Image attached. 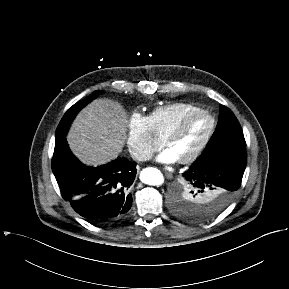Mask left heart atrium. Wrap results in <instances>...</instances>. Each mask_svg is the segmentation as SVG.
Wrapping results in <instances>:
<instances>
[{
    "instance_id": "obj_1",
    "label": "left heart atrium",
    "mask_w": 289,
    "mask_h": 289,
    "mask_svg": "<svg viewBox=\"0 0 289 289\" xmlns=\"http://www.w3.org/2000/svg\"><path fill=\"white\" fill-rule=\"evenodd\" d=\"M177 160H178V157L169 148L163 150L157 156V161L161 163H173Z\"/></svg>"
}]
</instances>
